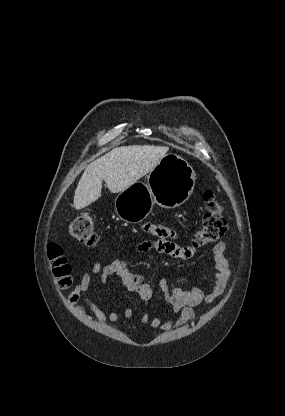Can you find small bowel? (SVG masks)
Instances as JSON below:
<instances>
[{
    "label": "small bowel",
    "mask_w": 285,
    "mask_h": 416,
    "mask_svg": "<svg viewBox=\"0 0 285 416\" xmlns=\"http://www.w3.org/2000/svg\"><path fill=\"white\" fill-rule=\"evenodd\" d=\"M145 231L154 238L139 243L137 246L138 252L155 251L180 260H188L195 255L196 247L192 244L186 246L177 244L175 240L178 234L169 227L148 224L145 226ZM212 253L214 271L210 278L213 280L214 286L210 291H204L198 286L189 288L174 286L166 279L158 281L159 292L170 308V315L166 319L161 316L150 319L148 306L155 298L157 291L143 275L131 272L126 262L120 259L107 264L95 262L91 273H83L67 300L73 305L82 300L84 305H76L77 310L81 314L91 312L102 324L116 323L120 318L119 313L112 309L102 310L96 302L86 297L85 293L90 289L94 277H98L103 285L110 278L117 277L122 286L129 292L135 293L145 305V312L140 319L141 325L149 324L152 329L162 332L178 329L195 319L194 306L201 303H214L226 289L231 274L229 260L226 256V244L223 241L217 242L212 249ZM122 313L126 318L133 316V310L129 307L124 308Z\"/></svg>",
    "instance_id": "c3829d8e"
}]
</instances>
